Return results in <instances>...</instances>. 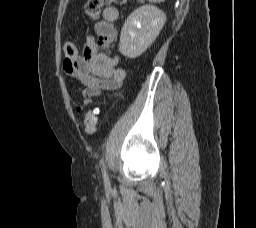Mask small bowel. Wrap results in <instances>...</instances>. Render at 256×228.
<instances>
[{
  "label": "small bowel",
  "mask_w": 256,
  "mask_h": 228,
  "mask_svg": "<svg viewBox=\"0 0 256 228\" xmlns=\"http://www.w3.org/2000/svg\"><path fill=\"white\" fill-rule=\"evenodd\" d=\"M118 15L117 8H105L101 20L95 24L97 37L88 36L83 53H78L74 60H64L65 71L84 86L82 95L85 105L90 104L103 91L120 88L126 78L125 70L119 67V57L104 51L115 39L114 22Z\"/></svg>",
  "instance_id": "c3829d8e"
}]
</instances>
